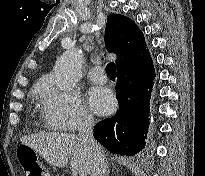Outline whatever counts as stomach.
<instances>
[{
  "label": "stomach",
  "instance_id": "stomach-1",
  "mask_svg": "<svg viewBox=\"0 0 205 176\" xmlns=\"http://www.w3.org/2000/svg\"><path fill=\"white\" fill-rule=\"evenodd\" d=\"M24 149H25V150H30V151L34 152V150L31 149V148H30L29 146H27V145H24Z\"/></svg>",
  "mask_w": 205,
  "mask_h": 176
}]
</instances>
